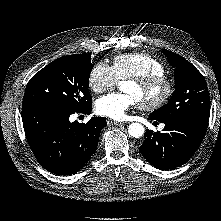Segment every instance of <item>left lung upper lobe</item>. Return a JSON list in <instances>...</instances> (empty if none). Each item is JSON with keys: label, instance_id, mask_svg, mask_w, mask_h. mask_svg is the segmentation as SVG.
I'll return each mask as SVG.
<instances>
[{"label": "left lung upper lobe", "instance_id": "1", "mask_svg": "<svg viewBox=\"0 0 221 221\" xmlns=\"http://www.w3.org/2000/svg\"><path fill=\"white\" fill-rule=\"evenodd\" d=\"M175 68V92L169 102L150 115L159 121L193 118L208 121L210 97L202 74L185 58L162 50Z\"/></svg>", "mask_w": 221, "mask_h": 221}]
</instances>
